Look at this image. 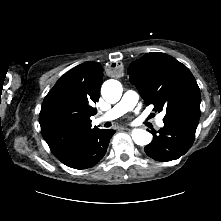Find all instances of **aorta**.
<instances>
[{
    "instance_id": "762f6f07",
    "label": "aorta",
    "mask_w": 221,
    "mask_h": 221,
    "mask_svg": "<svg viewBox=\"0 0 221 221\" xmlns=\"http://www.w3.org/2000/svg\"><path fill=\"white\" fill-rule=\"evenodd\" d=\"M122 91V85L117 80H107L101 88L102 97L109 103L118 102L122 96ZM131 135L135 144L140 146L147 145L152 140V135L142 128L133 129Z\"/></svg>"
}]
</instances>
